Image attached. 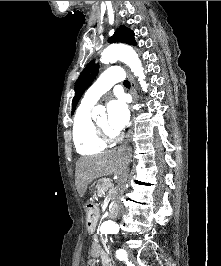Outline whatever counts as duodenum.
Returning <instances> with one entry per match:
<instances>
[{
    "instance_id": "1",
    "label": "duodenum",
    "mask_w": 221,
    "mask_h": 266,
    "mask_svg": "<svg viewBox=\"0 0 221 266\" xmlns=\"http://www.w3.org/2000/svg\"><path fill=\"white\" fill-rule=\"evenodd\" d=\"M118 211H119V208L115 205V206L110 208V211H108V216H115V215H117ZM94 223H95L94 217L90 216L89 220L87 222L88 228L92 229V227L94 226Z\"/></svg>"
}]
</instances>
